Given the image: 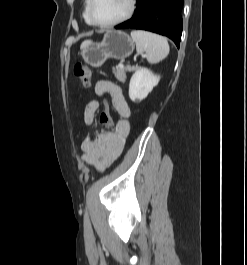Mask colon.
<instances>
[{"instance_id": "obj_1", "label": "colon", "mask_w": 247, "mask_h": 265, "mask_svg": "<svg viewBox=\"0 0 247 265\" xmlns=\"http://www.w3.org/2000/svg\"><path fill=\"white\" fill-rule=\"evenodd\" d=\"M74 75L80 80V82L85 87H88L90 85L91 70L87 65L83 63H77L74 66ZM100 122L106 128H112L114 125L113 119L110 115V112L107 106H105L103 112L100 115Z\"/></svg>"}]
</instances>
